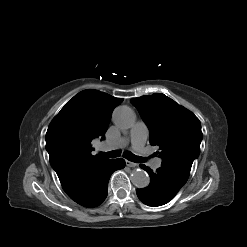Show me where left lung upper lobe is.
<instances>
[{
    "instance_id": "left-lung-upper-lobe-1",
    "label": "left lung upper lobe",
    "mask_w": 247,
    "mask_h": 247,
    "mask_svg": "<svg viewBox=\"0 0 247 247\" xmlns=\"http://www.w3.org/2000/svg\"><path fill=\"white\" fill-rule=\"evenodd\" d=\"M150 130V144L158 146L161 167L187 181L200 153L203 137L199 119L164 94L131 99Z\"/></svg>"
}]
</instances>
